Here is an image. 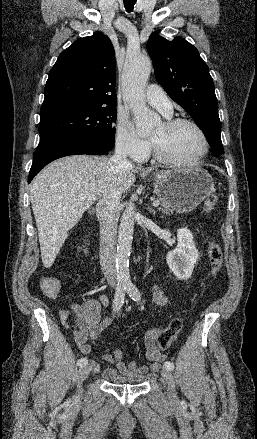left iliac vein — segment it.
<instances>
[{"label":"left iliac vein","instance_id":"1","mask_svg":"<svg viewBox=\"0 0 257 439\" xmlns=\"http://www.w3.org/2000/svg\"><path fill=\"white\" fill-rule=\"evenodd\" d=\"M161 375L167 384V391L169 398L171 400H174L176 398V394H175V383L172 373L167 369H163L161 371Z\"/></svg>","mask_w":257,"mask_h":439}]
</instances>
